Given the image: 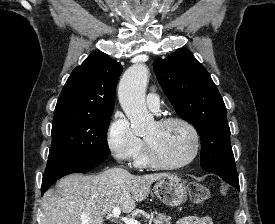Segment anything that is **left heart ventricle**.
I'll use <instances>...</instances> for the list:
<instances>
[{
    "label": "left heart ventricle",
    "instance_id": "b2bd125f",
    "mask_svg": "<svg viewBox=\"0 0 275 224\" xmlns=\"http://www.w3.org/2000/svg\"><path fill=\"white\" fill-rule=\"evenodd\" d=\"M157 157L168 164H178L187 160L193 151L190 131L181 123L173 122L165 126L154 123L144 135Z\"/></svg>",
    "mask_w": 275,
    "mask_h": 224
}]
</instances>
